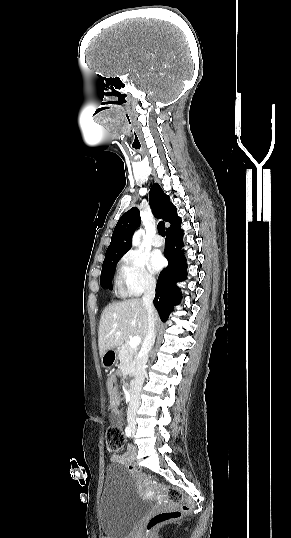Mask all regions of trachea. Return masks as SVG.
Returning <instances> with one entry per match:
<instances>
[{
	"mask_svg": "<svg viewBox=\"0 0 291 538\" xmlns=\"http://www.w3.org/2000/svg\"><path fill=\"white\" fill-rule=\"evenodd\" d=\"M157 228H158L159 234L164 237L165 236V224H164V222L160 221L158 223Z\"/></svg>",
	"mask_w": 291,
	"mask_h": 538,
	"instance_id": "obj_1",
	"label": "trachea"
}]
</instances>
